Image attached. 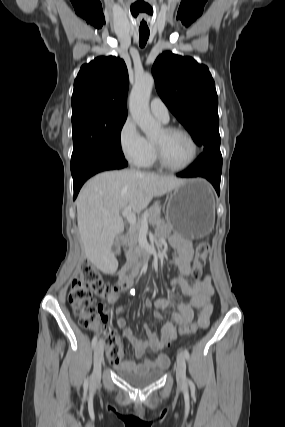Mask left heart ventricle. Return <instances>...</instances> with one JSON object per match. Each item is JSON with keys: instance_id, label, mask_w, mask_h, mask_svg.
<instances>
[{"instance_id": "b2bd125f", "label": "left heart ventricle", "mask_w": 285, "mask_h": 427, "mask_svg": "<svg viewBox=\"0 0 285 427\" xmlns=\"http://www.w3.org/2000/svg\"><path fill=\"white\" fill-rule=\"evenodd\" d=\"M153 141L161 146L164 158L170 165L181 166L192 155V145L181 133L166 134L161 130Z\"/></svg>"}]
</instances>
